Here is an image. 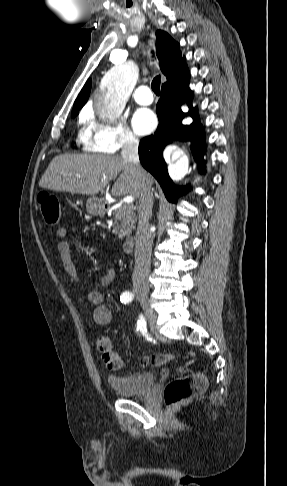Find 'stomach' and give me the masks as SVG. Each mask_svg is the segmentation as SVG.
<instances>
[{
    "label": "stomach",
    "instance_id": "1",
    "mask_svg": "<svg viewBox=\"0 0 287 486\" xmlns=\"http://www.w3.org/2000/svg\"><path fill=\"white\" fill-rule=\"evenodd\" d=\"M86 210L89 214L100 215L105 212V203L98 197H89L86 201Z\"/></svg>",
    "mask_w": 287,
    "mask_h": 486
}]
</instances>
